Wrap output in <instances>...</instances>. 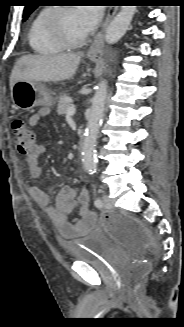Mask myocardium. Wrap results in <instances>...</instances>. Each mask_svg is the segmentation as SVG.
<instances>
[{"mask_svg": "<svg viewBox=\"0 0 184 327\" xmlns=\"http://www.w3.org/2000/svg\"><path fill=\"white\" fill-rule=\"evenodd\" d=\"M72 9L74 8L66 6L55 7L52 9L47 19V29L49 33L56 41L66 48L82 46L89 38L88 33L79 39H72L65 33L62 25V17L66 12L71 11Z\"/></svg>", "mask_w": 184, "mask_h": 327, "instance_id": "obj_1", "label": "myocardium"}]
</instances>
